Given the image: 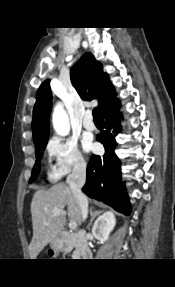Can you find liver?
Instances as JSON below:
<instances>
[{"instance_id": "obj_1", "label": "liver", "mask_w": 175, "mask_h": 287, "mask_svg": "<svg viewBox=\"0 0 175 287\" xmlns=\"http://www.w3.org/2000/svg\"><path fill=\"white\" fill-rule=\"evenodd\" d=\"M65 207L69 221L81 225L83 219L79 204L66 184L59 183L49 190L35 192L31 202L33 237L29 245L30 259H36L41 250L60 234L66 217L63 214L53 216L52 211H64Z\"/></svg>"}]
</instances>
